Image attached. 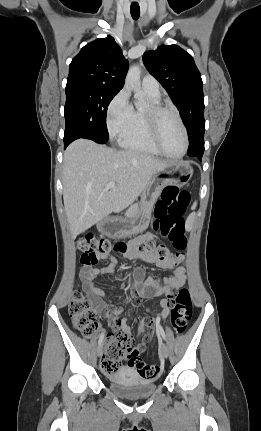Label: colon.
Masks as SVG:
<instances>
[{
    "instance_id": "obj_1",
    "label": "colon",
    "mask_w": 261,
    "mask_h": 431,
    "mask_svg": "<svg viewBox=\"0 0 261 431\" xmlns=\"http://www.w3.org/2000/svg\"><path fill=\"white\" fill-rule=\"evenodd\" d=\"M190 194L187 190L177 186H166L160 201L155 207V221L153 228L161 236L167 238L176 252L170 253L164 244H156L148 241L144 244H136L129 247L125 242H117L114 245L94 235H87L77 241V248L81 254L80 262L85 267H91L98 259L111 250L120 254H153L161 261H170L179 264L184 261L187 238L184 230L183 215L189 205ZM169 305L171 325L176 334H182L192 317V300L190 291L182 288L177 292H169L164 298ZM69 313L74 328L86 337L92 336L98 329L95 312L87 296L76 289L69 304ZM156 355V348L151 350ZM123 360H127L139 378L146 382L157 381L163 371L161 364L144 363L138 358L134 349V342L130 335L124 332L109 333L106 339L102 356V368L106 373H114L121 366ZM158 361H163V356H158Z\"/></svg>"
}]
</instances>
